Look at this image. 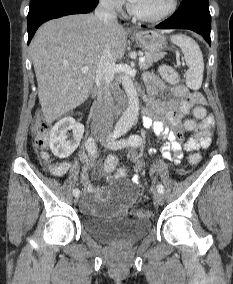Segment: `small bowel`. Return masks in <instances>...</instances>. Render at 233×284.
<instances>
[{
	"label": "small bowel",
	"mask_w": 233,
	"mask_h": 284,
	"mask_svg": "<svg viewBox=\"0 0 233 284\" xmlns=\"http://www.w3.org/2000/svg\"><path fill=\"white\" fill-rule=\"evenodd\" d=\"M146 82L151 100L145 109L143 123L146 128L166 140L161 148L162 157L178 164L183 157V151L194 152L207 148L211 143L213 126L211 116L204 118L194 130V134L187 139L182 126L183 118L194 106L203 107L205 105L203 95L197 91H189L183 85H178L171 90L167 98H158L168 92L166 85L154 75H147ZM47 167L52 175L60 177L68 172L70 163L53 162ZM82 182L87 194L92 193L93 187L87 173H83ZM82 206L86 211L95 209L94 201L89 195L85 197Z\"/></svg>",
	"instance_id": "obj_1"
}]
</instances>
